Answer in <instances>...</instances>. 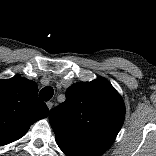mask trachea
<instances>
[{
	"label": "trachea",
	"mask_w": 156,
	"mask_h": 156,
	"mask_svg": "<svg viewBox=\"0 0 156 156\" xmlns=\"http://www.w3.org/2000/svg\"><path fill=\"white\" fill-rule=\"evenodd\" d=\"M53 93H54L53 88L47 86L40 91L39 97L44 101H48L52 98Z\"/></svg>",
	"instance_id": "trachea-1"
}]
</instances>
